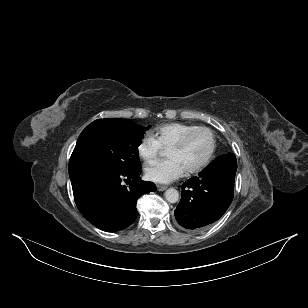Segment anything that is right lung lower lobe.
Here are the masks:
<instances>
[{
	"instance_id": "right-lung-lower-lobe-1",
	"label": "right lung lower lobe",
	"mask_w": 308,
	"mask_h": 308,
	"mask_svg": "<svg viewBox=\"0 0 308 308\" xmlns=\"http://www.w3.org/2000/svg\"><path fill=\"white\" fill-rule=\"evenodd\" d=\"M140 173L141 169L118 174L86 171L71 175L74 199L79 211L91 224L103 231L127 228L137 216L138 198L156 190L154 183L141 180ZM124 181L129 186H125Z\"/></svg>"
}]
</instances>
